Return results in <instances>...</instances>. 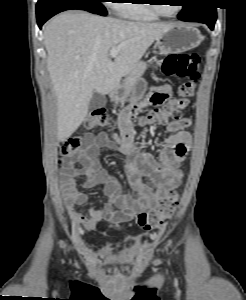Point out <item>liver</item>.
Masks as SVG:
<instances>
[{"label":"liver","instance_id":"liver-1","mask_svg":"<svg viewBox=\"0 0 246 300\" xmlns=\"http://www.w3.org/2000/svg\"><path fill=\"white\" fill-rule=\"evenodd\" d=\"M165 23L124 21L86 12H65L44 28L47 70L57 97V139L70 137L81 125L93 92L119 87L167 29ZM119 49L114 60L110 50Z\"/></svg>","mask_w":246,"mask_h":300}]
</instances>
